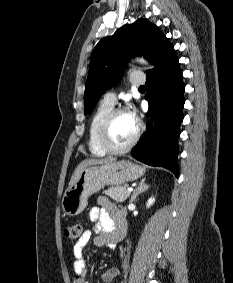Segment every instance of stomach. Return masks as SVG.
<instances>
[{
	"instance_id": "0dacf381",
	"label": "stomach",
	"mask_w": 233,
	"mask_h": 283,
	"mask_svg": "<svg viewBox=\"0 0 233 283\" xmlns=\"http://www.w3.org/2000/svg\"><path fill=\"white\" fill-rule=\"evenodd\" d=\"M144 173V167L126 160L88 166L65 191L61 203L62 210L68 216H76L86 208L88 198L106 185L119 186L132 182Z\"/></svg>"
}]
</instances>
